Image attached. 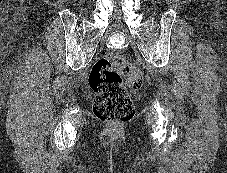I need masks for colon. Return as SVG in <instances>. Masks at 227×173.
<instances>
[{
    "mask_svg": "<svg viewBox=\"0 0 227 173\" xmlns=\"http://www.w3.org/2000/svg\"><path fill=\"white\" fill-rule=\"evenodd\" d=\"M140 70L119 54H108L97 60L89 74V84L96 97L95 117L106 123L123 124L134 116V106L128 89L142 85Z\"/></svg>",
    "mask_w": 227,
    "mask_h": 173,
    "instance_id": "obj_1",
    "label": "colon"
}]
</instances>
